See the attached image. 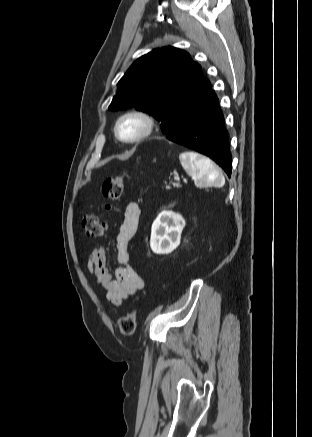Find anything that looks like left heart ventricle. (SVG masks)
<instances>
[{
	"label": "left heart ventricle",
	"instance_id": "b2bd125f",
	"mask_svg": "<svg viewBox=\"0 0 312 437\" xmlns=\"http://www.w3.org/2000/svg\"><path fill=\"white\" fill-rule=\"evenodd\" d=\"M144 128V122L136 117L126 118L120 126V133L125 138L137 136Z\"/></svg>",
	"mask_w": 312,
	"mask_h": 437
}]
</instances>
